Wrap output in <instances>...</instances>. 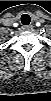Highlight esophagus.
I'll return each instance as SVG.
<instances>
[{
  "label": "esophagus",
  "instance_id": "1",
  "mask_svg": "<svg viewBox=\"0 0 51 101\" xmlns=\"http://www.w3.org/2000/svg\"><path fill=\"white\" fill-rule=\"evenodd\" d=\"M23 30L25 31H29V30H32L33 29V26L32 25H25L22 27Z\"/></svg>",
  "mask_w": 51,
  "mask_h": 101
}]
</instances>
